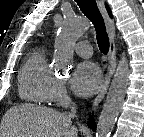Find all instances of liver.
Masks as SVG:
<instances>
[{"label":"liver","mask_w":144,"mask_h":137,"mask_svg":"<svg viewBox=\"0 0 144 137\" xmlns=\"http://www.w3.org/2000/svg\"><path fill=\"white\" fill-rule=\"evenodd\" d=\"M71 117L48 107L22 104L2 117L0 137H77Z\"/></svg>","instance_id":"1"}]
</instances>
